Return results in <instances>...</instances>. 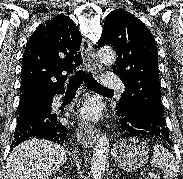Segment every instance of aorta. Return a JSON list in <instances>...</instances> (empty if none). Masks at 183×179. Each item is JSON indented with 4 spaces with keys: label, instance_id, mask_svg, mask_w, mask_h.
Wrapping results in <instances>:
<instances>
[{
    "label": "aorta",
    "instance_id": "1",
    "mask_svg": "<svg viewBox=\"0 0 183 179\" xmlns=\"http://www.w3.org/2000/svg\"><path fill=\"white\" fill-rule=\"evenodd\" d=\"M99 58L102 63L112 65L115 63L116 54L113 49L103 47L99 50ZM109 152V140L106 135L100 136L93 150L91 159V173L94 179H102Z\"/></svg>",
    "mask_w": 183,
    "mask_h": 179
}]
</instances>
